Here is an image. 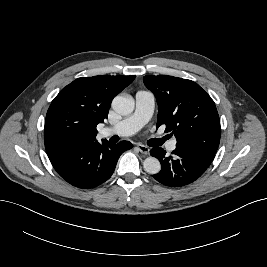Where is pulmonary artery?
I'll return each mask as SVG.
<instances>
[{
  "label": "pulmonary artery",
  "instance_id": "1",
  "mask_svg": "<svg viewBox=\"0 0 267 267\" xmlns=\"http://www.w3.org/2000/svg\"><path fill=\"white\" fill-rule=\"evenodd\" d=\"M155 105V97L149 91H139L135 95V111L129 117L118 122L112 127L102 129L101 135L104 137L117 135V136H130L135 134L144 124L150 119ZM176 139H172L167 144L169 151L176 149Z\"/></svg>",
  "mask_w": 267,
  "mask_h": 267
}]
</instances>
